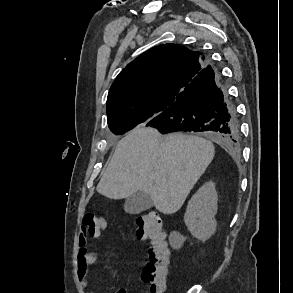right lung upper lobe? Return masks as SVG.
Here are the masks:
<instances>
[{"instance_id":"1","label":"right lung upper lobe","mask_w":293,"mask_h":293,"mask_svg":"<svg viewBox=\"0 0 293 293\" xmlns=\"http://www.w3.org/2000/svg\"><path fill=\"white\" fill-rule=\"evenodd\" d=\"M207 63L199 52L178 44H162L144 52L112 84L107 100L108 118L147 109L155 110L152 118L158 116Z\"/></svg>"}]
</instances>
